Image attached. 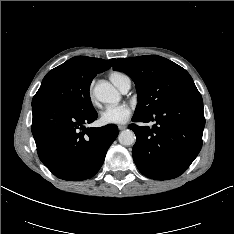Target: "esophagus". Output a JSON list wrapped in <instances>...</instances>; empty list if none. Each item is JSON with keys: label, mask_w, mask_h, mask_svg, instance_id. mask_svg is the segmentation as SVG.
Returning <instances> with one entry per match:
<instances>
[{"label": "esophagus", "mask_w": 234, "mask_h": 234, "mask_svg": "<svg viewBox=\"0 0 234 234\" xmlns=\"http://www.w3.org/2000/svg\"><path fill=\"white\" fill-rule=\"evenodd\" d=\"M118 129H119V130H125V129H126V126H125V125H119V126H118Z\"/></svg>", "instance_id": "obj_1"}]
</instances>
